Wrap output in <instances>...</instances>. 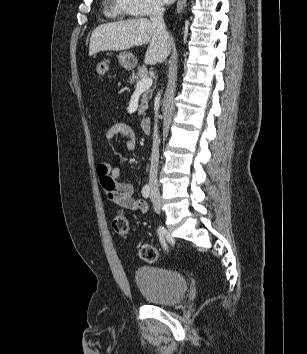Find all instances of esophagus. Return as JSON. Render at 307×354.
Returning <instances> with one entry per match:
<instances>
[{
  "label": "esophagus",
  "instance_id": "esophagus-1",
  "mask_svg": "<svg viewBox=\"0 0 307 354\" xmlns=\"http://www.w3.org/2000/svg\"><path fill=\"white\" fill-rule=\"evenodd\" d=\"M185 2H186V0H178L177 6H176V12L177 13L182 9V7L184 6Z\"/></svg>",
  "mask_w": 307,
  "mask_h": 354
}]
</instances>
